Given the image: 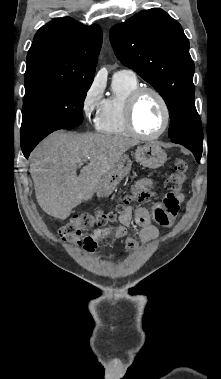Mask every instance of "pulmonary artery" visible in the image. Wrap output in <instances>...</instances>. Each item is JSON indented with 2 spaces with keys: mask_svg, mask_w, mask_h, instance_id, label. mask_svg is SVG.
I'll use <instances>...</instances> for the list:
<instances>
[{
  "mask_svg": "<svg viewBox=\"0 0 221 379\" xmlns=\"http://www.w3.org/2000/svg\"><path fill=\"white\" fill-rule=\"evenodd\" d=\"M115 75H123L128 77H136V74L131 69H121L115 73Z\"/></svg>",
  "mask_w": 221,
  "mask_h": 379,
  "instance_id": "obj_1",
  "label": "pulmonary artery"
}]
</instances>
